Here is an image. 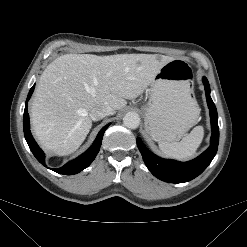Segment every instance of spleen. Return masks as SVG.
<instances>
[{"mask_svg": "<svg viewBox=\"0 0 247 247\" xmlns=\"http://www.w3.org/2000/svg\"><path fill=\"white\" fill-rule=\"evenodd\" d=\"M192 105L199 110L197 102L190 97ZM204 137V129L202 126H196L187 134L180 142L160 141L159 148L161 152L170 158L177 160H187L196 154Z\"/></svg>", "mask_w": 247, "mask_h": 247, "instance_id": "3e777b00", "label": "spleen"}]
</instances>
